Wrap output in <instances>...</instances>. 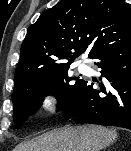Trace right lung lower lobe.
Masks as SVG:
<instances>
[{"label": "right lung lower lobe", "mask_w": 131, "mask_h": 151, "mask_svg": "<svg viewBox=\"0 0 131 151\" xmlns=\"http://www.w3.org/2000/svg\"><path fill=\"white\" fill-rule=\"evenodd\" d=\"M90 58L108 83L93 89V84L82 80L61 110L89 124L131 130V33L99 48Z\"/></svg>", "instance_id": "obj_1"}]
</instances>
